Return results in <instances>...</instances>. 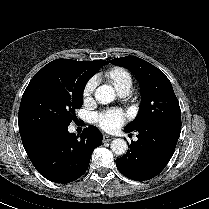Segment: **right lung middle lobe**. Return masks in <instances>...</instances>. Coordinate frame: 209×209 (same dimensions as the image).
I'll return each mask as SVG.
<instances>
[{"instance_id": "right-lung-middle-lobe-1", "label": "right lung middle lobe", "mask_w": 209, "mask_h": 209, "mask_svg": "<svg viewBox=\"0 0 209 209\" xmlns=\"http://www.w3.org/2000/svg\"><path fill=\"white\" fill-rule=\"evenodd\" d=\"M93 73L81 61L56 59L38 71L20 103L21 136L41 137L68 128L83 104V89Z\"/></svg>"}]
</instances>
